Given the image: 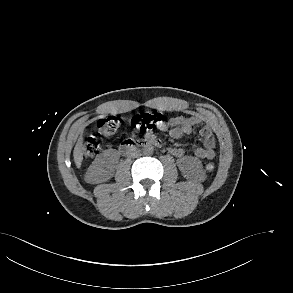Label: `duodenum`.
<instances>
[{"label": "duodenum", "mask_w": 293, "mask_h": 293, "mask_svg": "<svg viewBox=\"0 0 293 293\" xmlns=\"http://www.w3.org/2000/svg\"><path fill=\"white\" fill-rule=\"evenodd\" d=\"M148 146L160 147L161 143L158 139L151 136H147L139 141L125 140L120 144L119 152L123 156H129L134 151Z\"/></svg>", "instance_id": "obj_1"}]
</instances>
